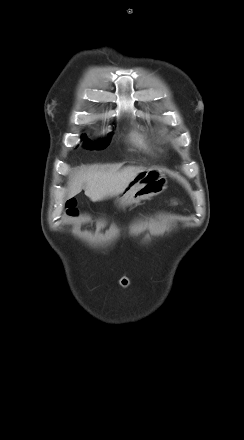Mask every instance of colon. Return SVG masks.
<instances>
[{"mask_svg": "<svg viewBox=\"0 0 244 440\" xmlns=\"http://www.w3.org/2000/svg\"><path fill=\"white\" fill-rule=\"evenodd\" d=\"M66 211L70 216H76L78 213L74 202H68Z\"/></svg>", "mask_w": 244, "mask_h": 440, "instance_id": "1", "label": "colon"}]
</instances>
